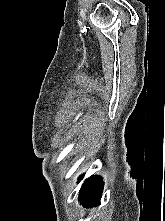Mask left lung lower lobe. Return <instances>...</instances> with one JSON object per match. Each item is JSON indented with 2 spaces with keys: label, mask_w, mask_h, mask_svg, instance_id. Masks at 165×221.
I'll list each match as a JSON object with an SVG mask.
<instances>
[{
  "label": "left lung lower lobe",
  "mask_w": 165,
  "mask_h": 221,
  "mask_svg": "<svg viewBox=\"0 0 165 221\" xmlns=\"http://www.w3.org/2000/svg\"><path fill=\"white\" fill-rule=\"evenodd\" d=\"M103 181L101 177L93 176L87 179L79 194V200L84 207H93L100 204Z\"/></svg>",
  "instance_id": "left-lung-lower-lobe-1"
}]
</instances>
